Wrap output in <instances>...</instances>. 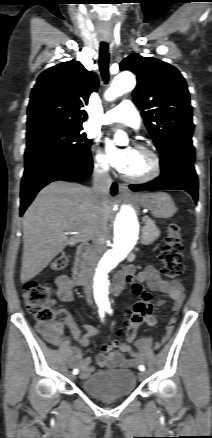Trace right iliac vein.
Returning <instances> with one entry per match:
<instances>
[{
	"mask_svg": "<svg viewBox=\"0 0 212 438\" xmlns=\"http://www.w3.org/2000/svg\"><path fill=\"white\" fill-rule=\"evenodd\" d=\"M70 378H71V379H75V376L71 375Z\"/></svg>",
	"mask_w": 212,
	"mask_h": 438,
	"instance_id": "63e3f726",
	"label": "right iliac vein"
}]
</instances>
